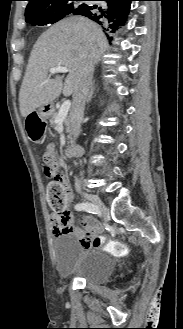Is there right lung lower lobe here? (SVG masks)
<instances>
[{"mask_svg":"<svg viewBox=\"0 0 183 329\" xmlns=\"http://www.w3.org/2000/svg\"><path fill=\"white\" fill-rule=\"evenodd\" d=\"M104 1L103 5L82 4L73 11L75 15L86 16L100 24L108 33H114L119 26L125 23L133 0H88ZM112 39V37H109Z\"/></svg>","mask_w":183,"mask_h":329,"instance_id":"obj_1","label":"right lung lower lobe"}]
</instances>
